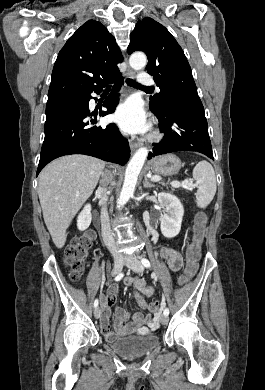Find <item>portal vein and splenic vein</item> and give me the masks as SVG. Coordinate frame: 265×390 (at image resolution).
<instances>
[{
	"label": "portal vein and splenic vein",
	"mask_w": 265,
	"mask_h": 390,
	"mask_svg": "<svg viewBox=\"0 0 265 390\" xmlns=\"http://www.w3.org/2000/svg\"><path fill=\"white\" fill-rule=\"evenodd\" d=\"M160 180H161L160 176H152L151 177V181H153V182H157ZM172 186H174V187L182 186L184 188H190V189L195 187V185L192 182H188L187 180L183 181L182 184H180L178 181H173Z\"/></svg>",
	"instance_id": "18ae733b"
}]
</instances>
